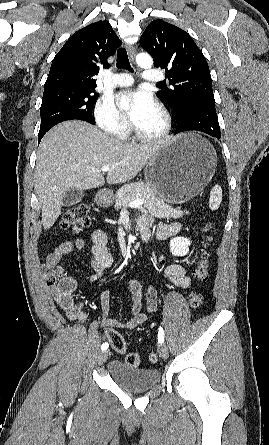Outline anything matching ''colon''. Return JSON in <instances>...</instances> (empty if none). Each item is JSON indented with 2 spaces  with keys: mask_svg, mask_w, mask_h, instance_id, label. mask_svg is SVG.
I'll return each instance as SVG.
<instances>
[{
  "mask_svg": "<svg viewBox=\"0 0 269 445\" xmlns=\"http://www.w3.org/2000/svg\"><path fill=\"white\" fill-rule=\"evenodd\" d=\"M91 223L90 206L87 203H80L69 208L61 219V228L64 230H71L79 232L86 229ZM212 224H207V235L205 236L204 249L202 250L199 260L193 270V277L199 283L207 281L209 276L208 252L206 248L211 240ZM45 281L49 287H57L64 293V299L68 300V294L75 289V283L68 277L63 276L61 269L57 265L46 262L44 265ZM203 302V296L200 292H193L190 296L189 303L192 309L197 310ZM107 339L111 347L118 353H125L127 345L123 337L114 330L107 332ZM126 363L130 366L137 367L141 363V356L138 353L131 352L126 355ZM150 363H156L158 356L156 353L148 355Z\"/></svg>",
  "mask_w": 269,
  "mask_h": 445,
  "instance_id": "obj_1",
  "label": "colon"
}]
</instances>
